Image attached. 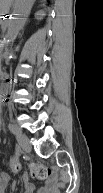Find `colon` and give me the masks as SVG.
I'll return each mask as SVG.
<instances>
[{"label": "colon", "mask_w": 103, "mask_h": 193, "mask_svg": "<svg viewBox=\"0 0 103 193\" xmlns=\"http://www.w3.org/2000/svg\"><path fill=\"white\" fill-rule=\"evenodd\" d=\"M11 167L13 169H17L18 165L15 162H13ZM29 168H30L32 177L35 179L47 180L53 176L51 173V170L42 163L31 162L29 164Z\"/></svg>", "instance_id": "obj_1"}]
</instances>
